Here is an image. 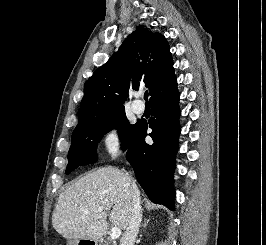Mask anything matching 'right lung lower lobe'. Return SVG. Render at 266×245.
Listing matches in <instances>:
<instances>
[{
  "label": "right lung lower lobe",
  "mask_w": 266,
  "mask_h": 245,
  "mask_svg": "<svg viewBox=\"0 0 266 245\" xmlns=\"http://www.w3.org/2000/svg\"><path fill=\"white\" fill-rule=\"evenodd\" d=\"M179 92L177 80L150 99L152 118L136 123L126 154L136 179L151 201L174 209L173 171L178 149ZM152 132L147 134V129ZM149 135L154 143L145 142Z\"/></svg>",
  "instance_id": "1"
}]
</instances>
